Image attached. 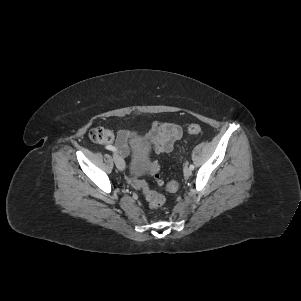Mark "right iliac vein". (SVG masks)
<instances>
[{
    "label": "right iliac vein",
    "mask_w": 301,
    "mask_h": 301,
    "mask_svg": "<svg viewBox=\"0 0 301 301\" xmlns=\"http://www.w3.org/2000/svg\"><path fill=\"white\" fill-rule=\"evenodd\" d=\"M113 158H114L117 168L120 171H123L125 169V163H124L123 159L117 154H113Z\"/></svg>",
    "instance_id": "right-iliac-vein-1"
}]
</instances>
